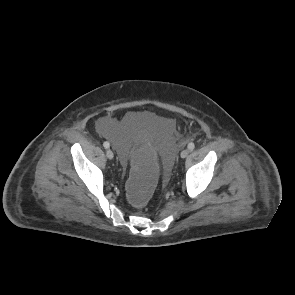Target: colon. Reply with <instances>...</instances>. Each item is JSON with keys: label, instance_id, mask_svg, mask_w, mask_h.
<instances>
[{"label": "colon", "instance_id": "colon-1", "mask_svg": "<svg viewBox=\"0 0 295 295\" xmlns=\"http://www.w3.org/2000/svg\"><path fill=\"white\" fill-rule=\"evenodd\" d=\"M133 171L126 184L125 191L135 204H146L152 198L158 176V161L155 146L149 140H137L131 146Z\"/></svg>", "mask_w": 295, "mask_h": 295}]
</instances>
